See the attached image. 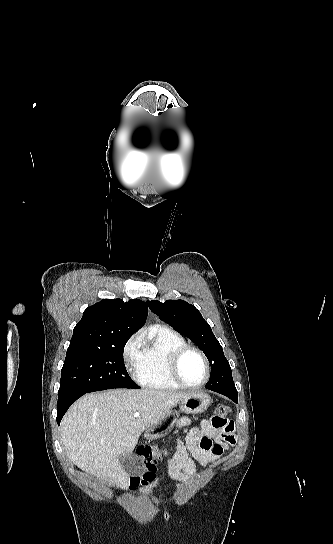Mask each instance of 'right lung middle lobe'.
I'll return each instance as SVG.
<instances>
[{
    "label": "right lung middle lobe",
    "instance_id": "1",
    "mask_svg": "<svg viewBox=\"0 0 333 544\" xmlns=\"http://www.w3.org/2000/svg\"><path fill=\"white\" fill-rule=\"evenodd\" d=\"M130 336L105 347L68 349L61 370L60 392H94L112 388H140L128 375L123 349Z\"/></svg>",
    "mask_w": 333,
    "mask_h": 544
}]
</instances>
